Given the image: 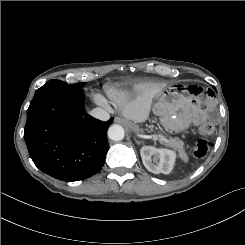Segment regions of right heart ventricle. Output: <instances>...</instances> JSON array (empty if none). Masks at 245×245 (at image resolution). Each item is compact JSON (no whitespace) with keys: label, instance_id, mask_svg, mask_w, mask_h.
Instances as JSON below:
<instances>
[{"label":"right heart ventricle","instance_id":"1","mask_svg":"<svg viewBox=\"0 0 245 245\" xmlns=\"http://www.w3.org/2000/svg\"><path fill=\"white\" fill-rule=\"evenodd\" d=\"M108 95L112 102L119 103L129 97L130 91L126 88L112 89L108 92Z\"/></svg>","mask_w":245,"mask_h":245}]
</instances>
